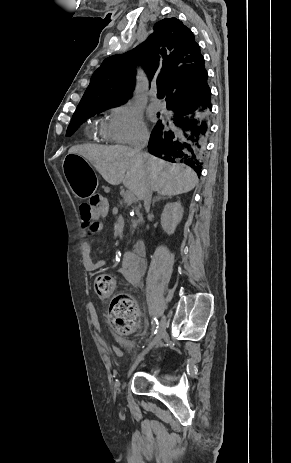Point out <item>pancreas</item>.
<instances>
[{
  "mask_svg": "<svg viewBox=\"0 0 291 463\" xmlns=\"http://www.w3.org/2000/svg\"><path fill=\"white\" fill-rule=\"evenodd\" d=\"M137 217H138V221L137 222H134L133 221V225L136 226L138 222H141L143 220V217L140 213H137Z\"/></svg>",
  "mask_w": 291,
  "mask_h": 463,
  "instance_id": "1",
  "label": "pancreas"
}]
</instances>
